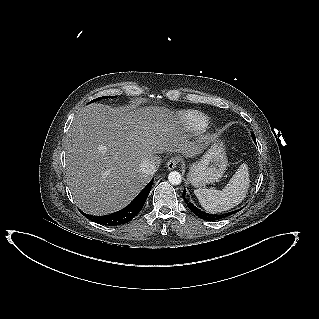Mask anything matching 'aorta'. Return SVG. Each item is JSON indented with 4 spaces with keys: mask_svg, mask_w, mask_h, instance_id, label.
<instances>
[{
    "mask_svg": "<svg viewBox=\"0 0 319 319\" xmlns=\"http://www.w3.org/2000/svg\"><path fill=\"white\" fill-rule=\"evenodd\" d=\"M168 180L171 184L173 185H178L181 183L182 181V177H181V174L177 171H171L169 174H168Z\"/></svg>",
    "mask_w": 319,
    "mask_h": 319,
    "instance_id": "762f6f07",
    "label": "aorta"
}]
</instances>
